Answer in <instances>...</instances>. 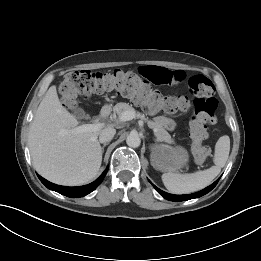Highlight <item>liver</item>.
<instances>
[{
    "label": "liver",
    "instance_id": "liver-1",
    "mask_svg": "<svg viewBox=\"0 0 261 261\" xmlns=\"http://www.w3.org/2000/svg\"><path fill=\"white\" fill-rule=\"evenodd\" d=\"M78 120L60 103L56 86L42 99L29 128L28 145L36 171L47 180L78 186L93 180L102 162L100 129L73 132Z\"/></svg>",
    "mask_w": 261,
    "mask_h": 261
}]
</instances>
